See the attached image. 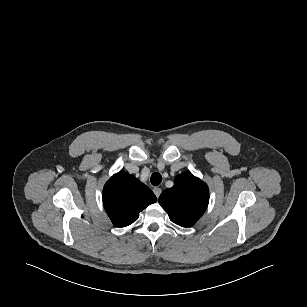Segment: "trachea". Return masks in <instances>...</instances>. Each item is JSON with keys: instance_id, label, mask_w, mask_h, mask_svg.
<instances>
[{"instance_id": "trachea-1", "label": "trachea", "mask_w": 307, "mask_h": 307, "mask_svg": "<svg viewBox=\"0 0 307 307\" xmlns=\"http://www.w3.org/2000/svg\"><path fill=\"white\" fill-rule=\"evenodd\" d=\"M150 181H151V184H152V185L158 186V185L161 183V181H162V176H161V174L158 173V172L153 173V174L151 175Z\"/></svg>"}]
</instances>
